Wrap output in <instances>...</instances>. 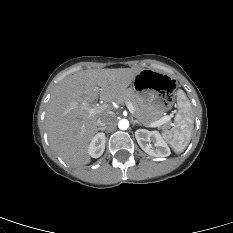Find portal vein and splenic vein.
<instances>
[{"mask_svg":"<svg viewBox=\"0 0 233 233\" xmlns=\"http://www.w3.org/2000/svg\"><path fill=\"white\" fill-rule=\"evenodd\" d=\"M126 106L131 114H135V109L131 103H127ZM82 107L84 109L88 110L90 115H94L98 112H101V111H104L105 109H107L106 104H103V105L97 104V105H93V106H88L86 104H83ZM168 121H170V116L166 115V116H163L161 119L151 123L149 126L150 127H160L161 125H163L164 123H166Z\"/></svg>","mask_w":233,"mask_h":233,"instance_id":"18ae733b","label":"portal vein and splenic vein"}]
</instances>
